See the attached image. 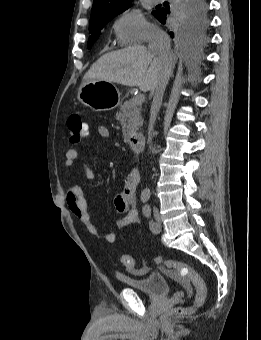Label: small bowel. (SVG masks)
<instances>
[{"label": "small bowel", "mask_w": 261, "mask_h": 340, "mask_svg": "<svg viewBox=\"0 0 261 340\" xmlns=\"http://www.w3.org/2000/svg\"><path fill=\"white\" fill-rule=\"evenodd\" d=\"M90 127L85 124V137L89 136ZM98 134L103 138H109L110 132L106 126L98 127ZM79 157L77 149L70 148L65 153V165L67 167H72L75 165L76 160ZM83 171L85 177L93 181L95 180L94 170L87 164H83ZM140 175L137 169H131L124 181V186L122 191L117 194L114 198V205L117 211L125 212L126 215L120 219L116 226L119 229L129 227L133 224L138 223L139 213L137 209V199H136V188L139 183ZM66 202L70 211L76 216L79 222L84 226V228L94 237L106 242L114 243L116 240V235L113 232L101 233L94 222L92 221L88 210L87 202L84 197L82 188L79 185H72L69 187L66 195ZM187 294L192 293V288L190 286L186 287Z\"/></svg>", "instance_id": "c3829d8e"}]
</instances>
